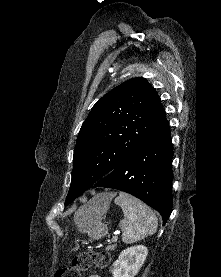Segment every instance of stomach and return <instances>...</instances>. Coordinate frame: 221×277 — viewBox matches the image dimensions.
Listing matches in <instances>:
<instances>
[{
  "mask_svg": "<svg viewBox=\"0 0 221 277\" xmlns=\"http://www.w3.org/2000/svg\"><path fill=\"white\" fill-rule=\"evenodd\" d=\"M108 207L109 204H104L96 198L91 200L75 214L74 221L77 229L91 239L104 237L108 233L105 222Z\"/></svg>",
  "mask_w": 221,
  "mask_h": 277,
  "instance_id": "1",
  "label": "stomach"
}]
</instances>
